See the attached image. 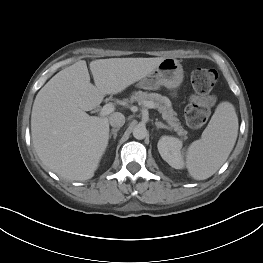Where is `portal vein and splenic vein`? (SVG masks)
<instances>
[{"instance_id":"1","label":"portal vein and splenic vein","mask_w":263,"mask_h":263,"mask_svg":"<svg viewBox=\"0 0 263 263\" xmlns=\"http://www.w3.org/2000/svg\"><path fill=\"white\" fill-rule=\"evenodd\" d=\"M143 105L147 108H150V109L157 108V105L152 101H146L143 103ZM114 109H115L114 105L112 103H108V104L104 105L103 108H101L99 115L100 116L109 115L110 113H112L114 111Z\"/></svg>"}]
</instances>
